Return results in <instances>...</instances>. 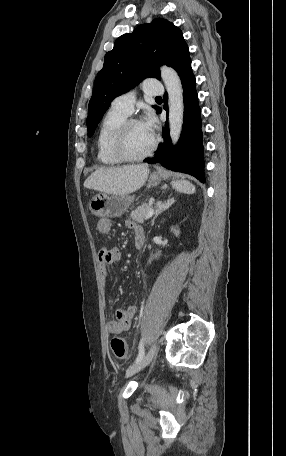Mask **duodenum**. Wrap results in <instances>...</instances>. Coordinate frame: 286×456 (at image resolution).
<instances>
[{
  "label": "duodenum",
  "mask_w": 286,
  "mask_h": 456,
  "mask_svg": "<svg viewBox=\"0 0 286 456\" xmlns=\"http://www.w3.org/2000/svg\"><path fill=\"white\" fill-rule=\"evenodd\" d=\"M144 243H145V235L142 234V235H138L135 237V240H134V245H135V248L136 249H141L143 246H144Z\"/></svg>",
  "instance_id": "1"
}]
</instances>
